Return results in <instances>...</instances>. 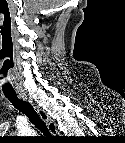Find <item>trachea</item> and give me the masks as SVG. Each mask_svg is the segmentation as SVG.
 Returning a JSON list of instances; mask_svg holds the SVG:
<instances>
[{
  "label": "trachea",
  "instance_id": "3493384b",
  "mask_svg": "<svg viewBox=\"0 0 125 143\" xmlns=\"http://www.w3.org/2000/svg\"><path fill=\"white\" fill-rule=\"evenodd\" d=\"M5 96L17 110L24 113L28 117L30 122L34 124L36 128H38L41 132H43L49 138L52 137L44 121L41 119V117L35 111V109L33 108L31 104L23 100H20L16 94H12V95L5 94Z\"/></svg>",
  "mask_w": 125,
  "mask_h": 143
}]
</instances>
